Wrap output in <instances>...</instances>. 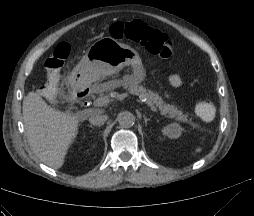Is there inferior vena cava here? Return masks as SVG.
Instances as JSON below:
<instances>
[{"instance_id": "obj_1", "label": "inferior vena cava", "mask_w": 254, "mask_h": 216, "mask_svg": "<svg viewBox=\"0 0 254 216\" xmlns=\"http://www.w3.org/2000/svg\"><path fill=\"white\" fill-rule=\"evenodd\" d=\"M108 116L101 113H94L90 116L89 122L95 126H101L105 123Z\"/></svg>"}]
</instances>
